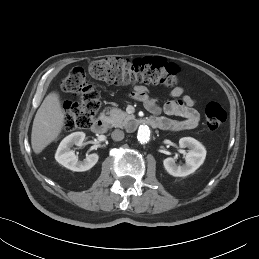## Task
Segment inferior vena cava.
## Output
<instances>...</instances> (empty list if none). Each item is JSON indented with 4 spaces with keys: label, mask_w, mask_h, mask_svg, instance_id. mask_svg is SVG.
Returning <instances> with one entry per match:
<instances>
[{
    "label": "inferior vena cava",
    "mask_w": 259,
    "mask_h": 259,
    "mask_svg": "<svg viewBox=\"0 0 259 259\" xmlns=\"http://www.w3.org/2000/svg\"><path fill=\"white\" fill-rule=\"evenodd\" d=\"M111 137L114 141H121L124 139V132L116 129L112 132Z\"/></svg>",
    "instance_id": "602c4592"
}]
</instances>
